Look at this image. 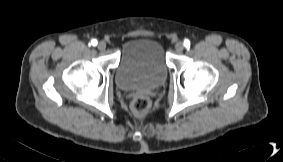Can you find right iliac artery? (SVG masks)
<instances>
[{"label":"right iliac artery","mask_w":283,"mask_h":162,"mask_svg":"<svg viewBox=\"0 0 283 162\" xmlns=\"http://www.w3.org/2000/svg\"><path fill=\"white\" fill-rule=\"evenodd\" d=\"M97 43H98V42H97V40H96V39H93V40L91 41V45H92V46H96V45H97Z\"/></svg>","instance_id":"82829eb1"}]
</instances>
